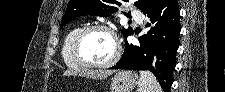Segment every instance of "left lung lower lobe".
Returning a JSON list of instances; mask_svg holds the SVG:
<instances>
[{"mask_svg": "<svg viewBox=\"0 0 225 92\" xmlns=\"http://www.w3.org/2000/svg\"><path fill=\"white\" fill-rule=\"evenodd\" d=\"M144 14L150 18V30L138 38L140 46L126 41L121 59L111 69L151 71L164 92H170L181 30L177 0H161Z\"/></svg>", "mask_w": 225, "mask_h": 92, "instance_id": "1", "label": "left lung lower lobe"}]
</instances>
